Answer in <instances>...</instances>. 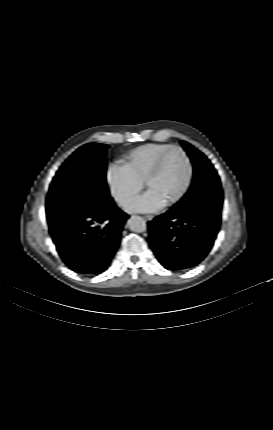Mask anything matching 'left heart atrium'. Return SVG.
Segmentation results:
<instances>
[{
  "mask_svg": "<svg viewBox=\"0 0 273 430\" xmlns=\"http://www.w3.org/2000/svg\"><path fill=\"white\" fill-rule=\"evenodd\" d=\"M165 203L151 190L133 200L128 210L131 212H154L161 209Z\"/></svg>",
  "mask_w": 273,
  "mask_h": 430,
  "instance_id": "1",
  "label": "left heart atrium"
}]
</instances>
